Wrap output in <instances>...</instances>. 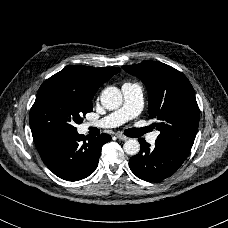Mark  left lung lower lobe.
Here are the masks:
<instances>
[{
    "label": "left lung lower lobe",
    "instance_id": "left-lung-lower-lobe-1",
    "mask_svg": "<svg viewBox=\"0 0 228 228\" xmlns=\"http://www.w3.org/2000/svg\"><path fill=\"white\" fill-rule=\"evenodd\" d=\"M140 153L132 156L129 165L142 180L158 182L174 174L188 156L191 148L156 140L151 147L143 138L138 139Z\"/></svg>",
    "mask_w": 228,
    "mask_h": 228
}]
</instances>
